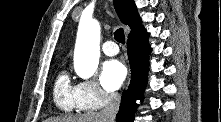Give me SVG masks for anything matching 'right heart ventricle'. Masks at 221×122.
Returning a JSON list of instances; mask_svg holds the SVG:
<instances>
[{
    "mask_svg": "<svg viewBox=\"0 0 221 122\" xmlns=\"http://www.w3.org/2000/svg\"><path fill=\"white\" fill-rule=\"evenodd\" d=\"M76 86L72 84L67 71H61L54 84L53 98L56 106L67 113L80 110L77 100Z\"/></svg>",
    "mask_w": 221,
    "mask_h": 122,
    "instance_id": "1",
    "label": "right heart ventricle"
}]
</instances>
